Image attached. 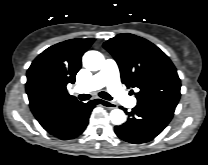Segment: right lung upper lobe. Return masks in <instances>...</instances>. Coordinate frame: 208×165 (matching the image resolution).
<instances>
[{
	"label": "right lung upper lobe",
	"instance_id": "right-lung-upper-lobe-1",
	"mask_svg": "<svg viewBox=\"0 0 208 165\" xmlns=\"http://www.w3.org/2000/svg\"><path fill=\"white\" fill-rule=\"evenodd\" d=\"M94 39H71L43 51L27 71L26 92L35 118L46 126L79 102L66 89L75 82L81 57Z\"/></svg>",
	"mask_w": 208,
	"mask_h": 165
}]
</instances>
